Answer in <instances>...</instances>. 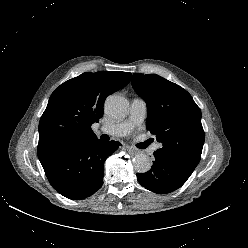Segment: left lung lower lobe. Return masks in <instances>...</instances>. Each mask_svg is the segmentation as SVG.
Wrapping results in <instances>:
<instances>
[{
    "instance_id": "1",
    "label": "left lung lower lobe",
    "mask_w": 248,
    "mask_h": 248,
    "mask_svg": "<svg viewBox=\"0 0 248 248\" xmlns=\"http://www.w3.org/2000/svg\"><path fill=\"white\" fill-rule=\"evenodd\" d=\"M152 168L143 174L137 173L139 183L146 189L165 194L180 188L191 174L181 169L174 162L154 153Z\"/></svg>"
}]
</instances>
